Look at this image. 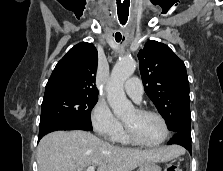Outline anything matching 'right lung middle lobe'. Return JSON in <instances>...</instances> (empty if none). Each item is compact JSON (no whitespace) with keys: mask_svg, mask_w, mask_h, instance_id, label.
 Listing matches in <instances>:
<instances>
[{"mask_svg":"<svg viewBox=\"0 0 223 171\" xmlns=\"http://www.w3.org/2000/svg\"><path fill=\"white\" fill-rule=\"evenodd\" d=\"M97 101V95L78 93L44 98L41 106L40 127L60 119H73L92 126L90 115Z\"/></svg>","mask_w":223,"mask_h":171,"instance_id":"1","label":"right lung middle lobe"}]
</instances>
